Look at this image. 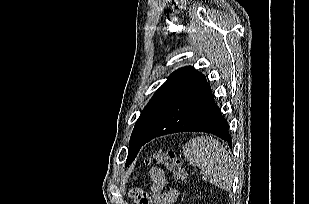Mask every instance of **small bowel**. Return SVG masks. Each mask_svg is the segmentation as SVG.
Returning <instances> with one entry per match:
<instances>
[{
    "instance_id": "c3829d8e",
    "label": "small bowel",
    "mask_w": 309,
    "mask_h": 204,
    "mask_svg": "<svg viewBox=\"0 0 309 204\" xmlns=\"http://www.w3.org/2000/svg\"><path fill=\"white\" fill-rule=\"evenodd\" d=\"M149 176L152 181L150 194L145 193L143 190L135 189L132 192V198L136 201L139 195L148 199V204H174L178 190L171 188L168 191H164L167 185V179L165 172L158 167H152L149 169Z\"/></svg>"
}]
</instances>
